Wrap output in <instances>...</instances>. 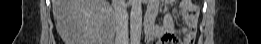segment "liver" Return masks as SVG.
I'll return each instance as SVG.
<instances>
[{
  "label": "liver",
  "instance_id": "obj_1",
  "mask_svg": "<svg viewBox=\"0 0 261 44\" xmlns=\"http://www.w3.org/2000/svg\"><path fill=\"white\" fill-rule=\"evenodd\" d=\"M53 15L67 44L109 42L103 24H120V19H108L112 15L108 0H53Z\"/></svg>",
  "mask_w": 261,
  "mask_h": 44
}]
</instances>
